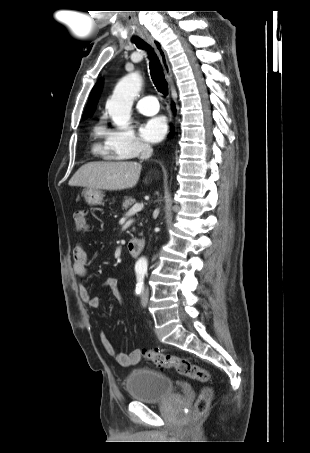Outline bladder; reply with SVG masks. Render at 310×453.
<instances>
[{
  "mask_svg": "<svg viewBox=\"0 0 310 453\" xmlns=\"http://www.w3.org/2000/svg\"><path fill=\"white\" fill-rule=\"evenodd\" d=\"M125 386L131 399L140 403H157L173 395V382L155 370L139 368L126 377Z\"/></svg>",
  "mask_w": 310,
  "mask_h": 453,
  "instance_id": "obj_1",
  "label": "bladder"
}]
</instances>
